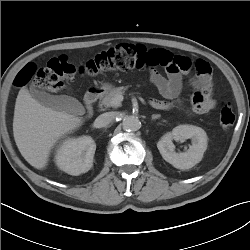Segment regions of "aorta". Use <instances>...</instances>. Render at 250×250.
Wrapping results in <instances>:
<instances>
[{"label": "aorta", "mask_w": 250, "mask_h": 250, "mask_svg": "<svg viewBox=\"0 0 250 250\" xmlns=\"http://www.w3.org/2000/svg\"><path fill=\"white\" fill-rule=\"evenodd\" d=\"M123 128L127 131H137L141 127V122L136 116H126L123 119Z\"/></svg>", "instance_id": "1"}]
</instances>
